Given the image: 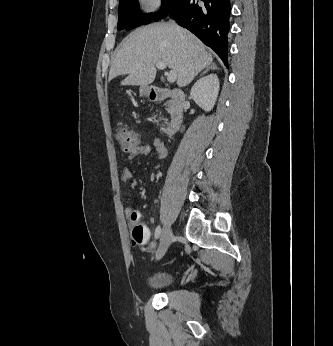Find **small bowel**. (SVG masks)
<instances>
[{"label": "small bowel", "mask_w": 333, "mask_h": 346, "mask_svg": "<svg viewBox=\"0 0 333 346\" xmlns=\"http://www.w3.org/2000/svg\"><path fill=\"white\" fill-rule=\"evenodd\" d=\"M155 148L157 152V156L159 159H164L166 158L168 154V149L166 145L160 141L159 139H154L151 144H143L139 145L135 150L130 152L129 158H139V157H145L150 154L152 148ZM122 179L123 181L130 182L133 187H136L137 183L134 180L133 172L130 168H125L122 172ZM132 213L131 209H128L127 214L130 216ZM147 241L144 243L146 245ZM132 244L135 246L136 250H143L144 249V244L139 243L137 240V236H132ZM151 249V246H145V250L149 251Z\"/></svg>", "instance_id": "1"}]
</instances>
